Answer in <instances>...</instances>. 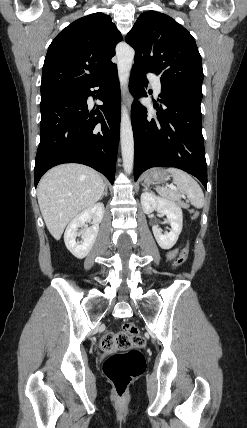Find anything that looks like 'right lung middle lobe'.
Instances as JSON below:
<instances>
[{"label": "right lung middle lobe", "instance_id": "1", "mask_svg": "<svg viewBox=\"0 0 247 428\" xmlns=\"http://www.w3.org/2000/svg\"><path fill=\"white\" fill-rule=\"evenodd\" d=\"M78 92H81V90H78V89L61 90V91H57V92L41 94V98L47 97V96H52V95H62V94L78 93Z\"/></svg>", "mask_w": 247, "mask_h": 428}]
</instances>
